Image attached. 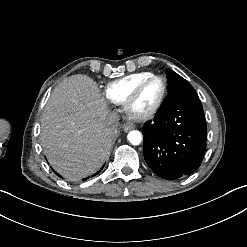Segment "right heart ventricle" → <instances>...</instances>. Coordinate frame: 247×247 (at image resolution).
<instances>
[{
	"mask_svg": "<svg viewBox=\"0 0 247 247\" xmlns=\"http://www.w3.org/2000/svg\"><path fill=\"white\" fill-rule=\"evenodd\" d=\"M152 74L151 72L132 74L109 83L106 87V98L113 103L122 104L132 88L140 80Z\"/></svg>",
	"mask_w": 247,
	"mask_h": 247,
	"instance_id": "e07e8e85",
	"label": "right heart ventricle"
}]
</instances>
